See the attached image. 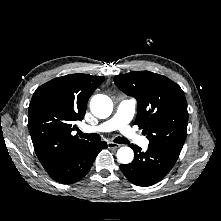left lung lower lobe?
Instances as JSON below:
<instances>
[{
  "mask_svg": "<svg viewBox=\"0 0 221 221\" xmlns=\"http://www.w3.org/2000/svg\"><path fill=\"white\" fill-rule=\"evenodd\" d=\"M135 157L132 163L120 165L126 178L137 186H151L172 169L178 157L157 148L148 147L143 152L137 145L131 144Z\"/></svg>",
  "mask_w": 221,
  "mask_h": 221,
  "instance_id": "0a47b994",
  "label": "left lung lower lobe"
}]
</instances>
